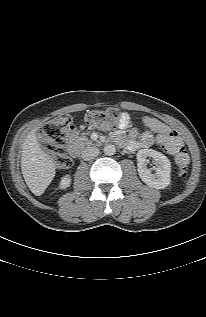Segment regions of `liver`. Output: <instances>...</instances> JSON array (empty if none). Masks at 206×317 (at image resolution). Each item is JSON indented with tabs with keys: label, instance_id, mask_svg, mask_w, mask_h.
<instances>
[{
	"label": "liver",
	"instance_id": "liver-1",
	"mask_svg": "<svg viewBox=\"0 0 206 317\" xmlns=\"http://www.w3.org/2000/svg\"><path fill=\"white\" fill-rule=\"evenodd\" d=\"M32 130L22 146L21 171L30 191L40 196L44 193L55 176V165L52 158L40 147Z\"/></svg>",
	"mask_w": 206,
	"mask_h": 317
}]
</instances>
